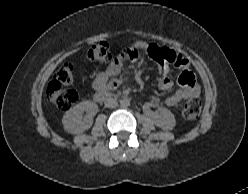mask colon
Returning <instances> with one entry per match:
<instances>
[{"instance_id": "obj_1", "label": "colon", "mask_w": 248, "mask_h": 194, "mask_svg": "<svg viewBox=\"0 0 248 194\" xmlns=\"http://www.w3.org/2000/svg\"><path fill=\"white\" fill-rule=\"evenodd\" d=\"M151 58L160 66L166 63H173L175 53L165 47L150 46L148 50ZM135 52L130 53L129 57L134 58ZM88 57L93 62L100 65H108L112 62V57L105 42L92 45L88 50ZM74 78V65L71 62H64L58 68L54 78L47 87L48 101L59 110H67L78 99L77 92L66 85L70 84ZM202 104L199 98L189 99L183 106V116L187 120L196 119L201 112Z\"/></svg>"}]
</instances>
